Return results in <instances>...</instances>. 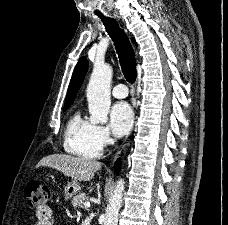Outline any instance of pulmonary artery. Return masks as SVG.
Instances as JSON below:
<instances>
[{"mask_svg": "<svg viewBox=\"0 0 228 225\" xmlns=\"http://www.w3.org/2000/svg\"><path fill=\"white\" fill-rule=\"evenodd\" d=\"M128 92V88L124 84H118L112 89V95L119 99L126 98Z\"/></svg>", "mask_w": 228, "mask_h": 225, "instance_id": "obj_1", "label": "pulmonary artery"}]
</instances>
